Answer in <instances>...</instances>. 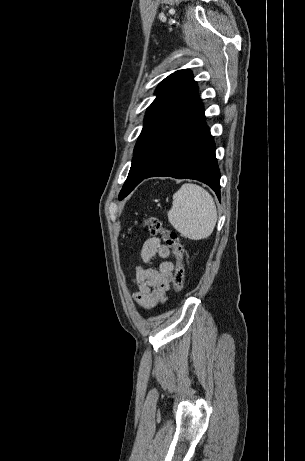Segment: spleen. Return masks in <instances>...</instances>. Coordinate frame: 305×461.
I'll use <instances>...</instances> for the list:
<instances>
[{
    "mask_svg": "<svg viewBox=\"0 0 305 461\" xmlns=\"http://www.w3.org/2000/svg\"><path fill=\"white\" fill-rule=\"evenodd\" d=\"M170 224L184 237L201 240L209 237L217 222L213 197L201 186L183 184L173 195L168 211Z\"/></svg>",
    "mask_w": 305,
    "mask_h": 461,
    "instance_id": "3e777b00",
    "label": "spleen"
}]
</instances>
